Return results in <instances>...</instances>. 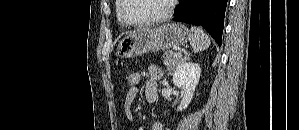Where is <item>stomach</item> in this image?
<instances>
[{"label": "stomach", "mask_w": 299, "mask_h": 130, "mask_svg": "<svg viewBox=\"0 0 299 130\" xmlns=\"http://www.w3.org/2000/svg\"><path fill=\"white\" fill-rule=\"evenodd\" d=\"M190 31L182 24L172 23L145 28L123 38L116 49L119 58L137 57L149 51L168 50L185 44Z\"/></svg>", "instance_id": "0dacf381"}]
</instances>
